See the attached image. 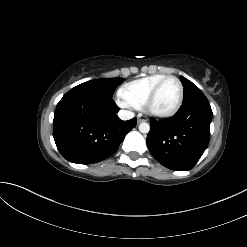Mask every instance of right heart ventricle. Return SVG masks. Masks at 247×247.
Returning <instances> with one entry per match:
<instances>
[{"label": "right heart ventricle", "mask_w": 247, "mask_h": 247, "mask_svg": "<svg viewBox=\"0 0 247 247\" xmlns=\"http://www.w3.org/2000/svg\"><path fill=\"white\" fill-rule=\"evenodd\" d=\"M165 76L166 74H154L131 81L121 88V95L134 107L141 108L149 93Z\"/></svg>", "instance_id": "1"}]
</instances>
